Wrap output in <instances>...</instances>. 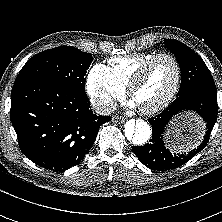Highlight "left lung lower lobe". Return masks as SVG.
Wrapping results in <instances>:
<instances>
[{
    "label": "left lung lower lobe",
    "instance_id": "left-lung-lower-lobe-1",
    "mask_svg": "<svg viewBox=\"0 0 222 222\" xmlns=\"http://www.w3.org/2000/svg\"><path fill=\"white\" fill-rule=\"evenodd\" d=\"M182 111H194L203 119L206 124L205 135L198 147L190 152L172 154L164 146L163 133L169 121ZM217 115V93L192 90L180 94L163 112L148 120L152 126L150 143L140 147L133 146L132 150L138 159L152 170L175 169L204 149L217 120Z\"/></svg>",
    "mask_w": 222,
    "mask_h": 222
}]
</instances>
